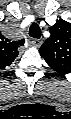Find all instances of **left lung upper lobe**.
Instances as JSON below:
<instances>
[{
  "mask_svg": "<svg viewBox=\"0 0 71 119\" xmlns=\"http://www.w3.org/2000/svg\"><path fill=\"white\" fill-rule=\"evenodd\" d=\"M50 33L40 47L41 56L57 73H71V23L57 20L50 27Z\"/></svg>",
  "mask_w": 71,
  "mask_h": 119,
  "instance_id": "1",
  "label": "left lung upper lobe"
}]
</instances>
